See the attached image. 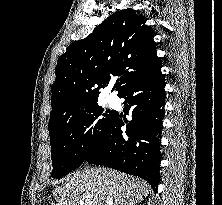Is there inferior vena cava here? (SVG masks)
<instances>
[{
  "label": "inferior vena cava",
  "instance_id": "inferior-vena-cava-1",
  "mask_svg": "<svg viewBox=\"0 0 222 205\" xmlns=\"http://www.w3.org/2000/svg\"><path fill=\"white\" fill-rule=\"evenodd\" d=\"M106 205H114V200H113V196H110V198L107 201Z\"/></svg>",
  "mask_w": 222,
  "mask_h": 205
}]
</instances>
